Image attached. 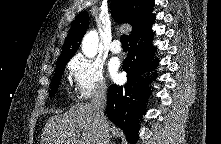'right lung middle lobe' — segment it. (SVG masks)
Listing matches in <instances>:
<instances>
[{
    "instance_id": "1",
    "label": "right lung middle lobe",
    "mask_w": 221,
    "mask_h": 144,
    "mask_svg": "<svg viewBox=\"0 0 221 144\" xmlns=\"http://www.w3.org/2000/svg\"><path fill=\"white\" fill-rule=\"evenodd\" d=\"M67 63H62V64H58L56 65V70H55V74H54V78H53V83H52V87H51V91H50V96H54L59 84H60V78L61 75L65 69Z\"/></svg>"
}]
</instances>
